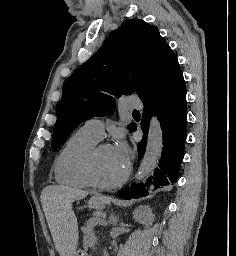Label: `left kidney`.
I'll return each mask as SVG.
<instances>
[{
    "instance_id": "1",
    "label": "left kidney",
    "mask_w": 236,
    "mask_h": 256,
    "mask_svg": "<svg viewBox=\"0 0 236 256\" xmlns=\"http://www.w3.org/2000/svg\"><path fill=\"white\" fill-rule=\"evenodd\" d=\"M133 218L135 222L144 224L145 228H149L154 222V214L149 206H138L133 212Z\"/></svg>"
}]
</instances>
